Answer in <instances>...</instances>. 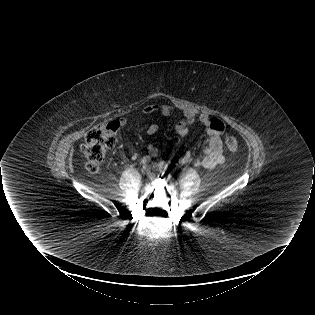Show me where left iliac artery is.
I'll return each mask as SVG.
<instances>
[{
    "label": "left iliac artery",
    "instance_id": "1",
    "mask_svg": "<svg viewBox=\"0 0 315 315\" xmlns=\"http://www.w3.org/2000/svg\"><path fill=\"white\" fill-rule=\"evenodd\" d=\"M160 167L162 168L163 166H164V162H160ZM165 168H166V166H165Z\"/></svg>",
    "mask_w": 315,
    "mask_h": 315
}]
</instances>
